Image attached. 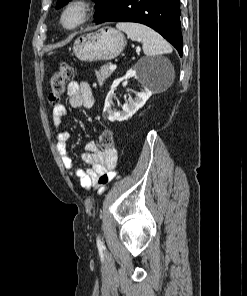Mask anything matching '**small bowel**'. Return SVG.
Instances as JSON below:
<instances>
[{"mask_svg":"<svg viewBox=\"0 0 247 296\" xmlns=\"http://www.w3.org/2000/svg\"><path fill=\"white\" fill-rule=\"evenodd\" d=\"M69 103L74 108H90L93 105V93L84 81H71L67 86ZM68 115L65 105L59 104L52 110V121L56 128L61 124L63 118ZM70 133L64 129H58L56 148L61 161L66 169L67 175L72 180H78L85 189L96 188L99 194L105 191L106 185H102L99 179L103 175L109 176V181L114 177L113 169L116 164L115 149L102 151L95 141L88 142L82 159L90 166L87 169L76 167L69 155L67 144Z\"/></svg>","mask_w":247,"mask_h":296,"instance_id":"small-bowel-1","label":"small bowel"}]
</instances>
